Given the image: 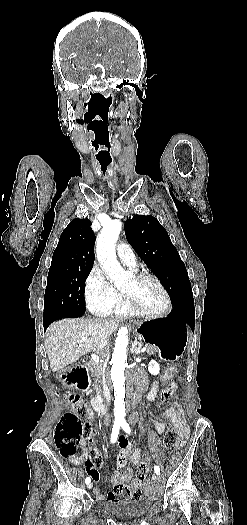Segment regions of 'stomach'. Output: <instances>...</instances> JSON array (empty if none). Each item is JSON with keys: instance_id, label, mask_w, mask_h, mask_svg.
Instances as JSON below:
<instances>
[{"instance_id": "obj_1", "label": "stomach", "mask_w": 247, "mask_h": 525, "mask_svg": "<svg viewBox=\"0 0 247 525\" xmlns=\"http://www.w3.org/2000/svg\"><path fill=\"white\" fill-rule=\"evenodd\" d=\"M136 330L147 345L158 348L159 355L168 361L179 359L190 336L187 325L170 318L141 322Z\"/></svg>"}]
</instances>
